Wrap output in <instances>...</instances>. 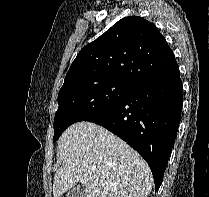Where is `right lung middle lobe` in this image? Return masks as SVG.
<instances>
[{
  "mask_svg": "<svg viewBox=\"0 0 209 197\" xmlns=\"http://www.w3.org/2000/svg\"><path fill=\"white\" fill-rule=\"evenodd\" d=\"M135 87L121 81L102 80L69 84L58 95V110L54 119L55 142L71 124L85 121L125 98Z\"/></svg>",
  "mask_w": 209,
  "mask_h": 197,
  "instance_id": "dd1d6c3e",
  "label": "right lung middle lobe"
}]
</instances>
